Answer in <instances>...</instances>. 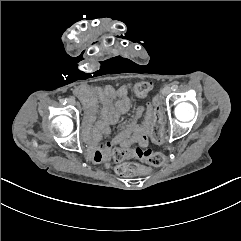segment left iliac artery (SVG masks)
<instances>
[{
	"label": "left iliac artery",
	"instance_id": "left-iliac-artery-1",
	"mask_svg": "<svg viewBox=\"0 0 241 241\" xmlns=\"http://www.w3.org/2000/svg\"><path fill=\"white\" fill-rule=\"evenodd\" d=\"M177 88H178V84H177V83H174V84L172 85V87H171V89L174 90V91H175Z\"/></svg>",
	"mask_w": 241,
	"mask_h": 241
}]
</instances>
